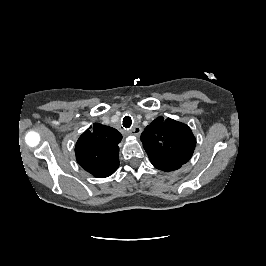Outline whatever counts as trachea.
<instances>
[{
    "label": "trachea",
    "mask_w": 266,
    "mask_h": 266,
    "mask_svg": "<svg viewBox=\"0 0 266 266\" xmlns=\"http://www.w3.org/2000/svg\"><path fill=\"white\" fill-rule=\"evenodd\" d=\"M122 124H123V127L130 128L131 125H132V119H131V117L130 116H125L123 118Z\"/></svg>",
    "instance_id": "obj_1"
}]
</instances>
